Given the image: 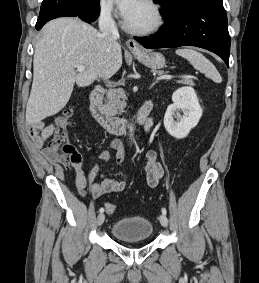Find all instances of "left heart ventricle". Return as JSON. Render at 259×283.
I'll list each match as a JSON object with an SVG mask.
<instances>
[{
  "instance_id": "1",
  "label": "left heart ventricle",
  "mask_w": 259,
  "mask_h": 283,
  "mask_svg": "<svg viewBox=\"0 0 259 283\" xmlns=\"http://www.w3.org/2000/svg\"><path fill=\"white\" fill-rule=\"evenodd\" d=\"M153 10L142 0L136 10L126 19V21L134 28H146L154 22Z\"/></svg>"
}]
</instances>
